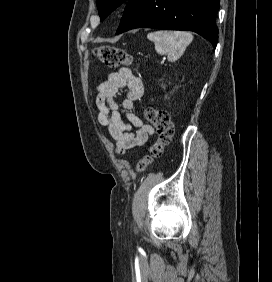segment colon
I'll list each match as a JSON object with an SVG mask.
<instances>
[{"mask_svg": "<svg viewBox=\"0 0 272 282\" xmlns=\"http://www.w3.org/2000/svg\"><path fill=\"white\" fill-rule=\"evenodd\" d=\"M94 56L107 67L129 66L133 63L132 58L121 48L102 45L94 49ZM146 120L155 127L158 138L149 147V153L139 162L138 168L144 169L153 160L161 157L164 147L168 145L174 136V124L166 111L147 109Z\"/></svg>", "mask_w": 272, "mask_h": 282, "instance_id": "colon-1", "label": "colon"}]
</instances>
